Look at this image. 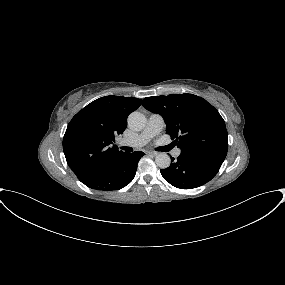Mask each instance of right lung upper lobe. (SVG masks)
<instances>
[{"label":"right lung upper lobe","mask_w":285,"mask_h":285,"mask_svg":"<svg viewBox=\"0 0 285 285\" xmlns=\"http://www.w3.org/2000/svg\"><path fill=\"white\" fill-rule=\"evenodd\" d=\"M140 105L138 98L105 96L72 118L63 138V151L78 179L125 153L111 144L125 130L128 115Z\"/></svg>","instance_id":"obj_1"}]
</instances>
